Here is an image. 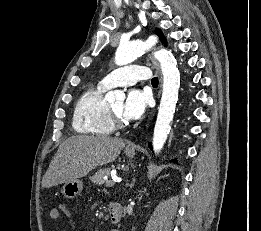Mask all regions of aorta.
Here are the masks:
<instances>
[{
    "label": "aorta",
    "instance_id": "aorta-1",
    "mask_svg": "<svg viewBox=\"0 0 261 231\" xmlns=\"http://www.w3.org/2000/svg\"><path fill=\"white\" fill-rule=\"evenodd\" d=\"M149 48L148 43L140 40L121 43L115 54V63L119 66L129 64ZM154 57L159 61L163 74V92L153 135V148L155 153H159L171 129L170 123L178 100L180 74L177 62L168 50L161 48L154 52ZM105 99L109 102L123 101L125 94L121 90H114L108 92Z\"/></svg>",
    "mask_w": 261,
    "mask_h": 231
}]
</instances>
